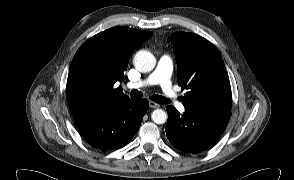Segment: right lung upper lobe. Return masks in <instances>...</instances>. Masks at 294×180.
I'll return each instance as SVG.
<instances>
[{"instance_id":"1","label":"right lung upper lobe","mask_w":294,"mask_h":180,"mask_svg":"<svg viewBox=\"0 0 294 180\" xmlns=\"http://www.w3.org/2000/svg\"><path fill=\"white\" fill-rule=\"evenodd\" d=\"M152 34L114 27L94 35L78 49L67 79V102L74 119L129 98L113 86L124 79L133 50Z\"/></svg>"}]
</instances>
